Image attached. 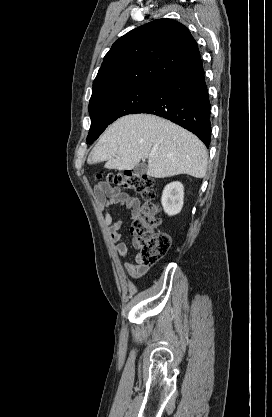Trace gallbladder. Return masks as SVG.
Instances as JSON below:
<instances>
[{
  "mask_svg": "<svg viewBox=\"0 0 272 417\" xmlns=\"http://www.w3.org/2000/svg\"><path fill=\"white\" fill-rule=\"evenodd\" d=\"M146 171H147V165L145 163H140L134 167L135 175H138V176L143 175L146 173Z\"/></svg>",
  "mask_w": 272,
  "mask_h": 417,
  "instance_id": "obj_1",
  "label": "gallbladder"
}]
</instances>
